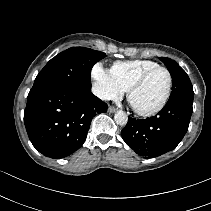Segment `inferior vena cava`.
I'll list each match as a JSON object with an SVG mask.
<instances>
[{
  "instance_id": "602c4592",
  "label": "inferior vena cava",
  "mask_w": 211,
  "mask_h": 211,
  "mask_svg": "<svg viewBox=\"0 0 211 211\" xmlns=\"http://www.w3.org/2000/svg\"><path fill=\"white\" fill-rule=\"evenodd\" d=\"M92 92L94 95L98 96L99 98H101L103 100L109 99L108 93L102 87H100L98 85H94L92 87Z\"/></svg>"
}]
</instances>
